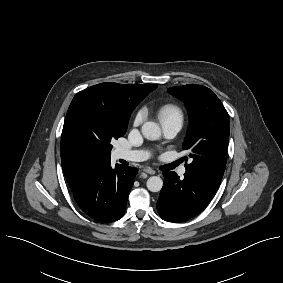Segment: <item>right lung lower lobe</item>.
<instances>
[{"mask_svg": "<svg viewBox=\"0 0 283 283\" xmlns=\"http://www.w3.org/2000/svg\"><path fill=\"white\" fill-rule=\"evenodd\" d=\"M137 172L134 167L120 164L113 169L110 158L97 159L71 190L87 215L100 222H112L123 216Z\"/></svg>", "mask_w": 283, "mask_h": 283, "instance_id": "98d812e1", "label": "right lung lower lobe"}]
</instances>
